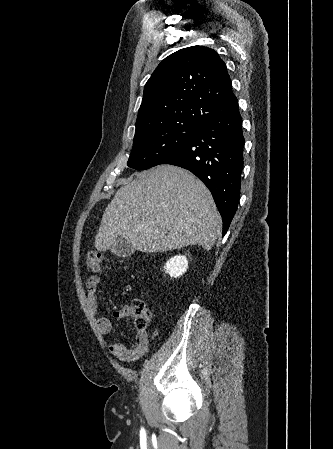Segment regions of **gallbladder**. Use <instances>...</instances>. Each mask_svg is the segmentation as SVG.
<instances>
[{"label":"gallbladder","mask_w":333,"mask_h":449,"mask_svg":"<svg viewBox=\"0 0 333 449\" xmlns=\"http://www.w3.org/2000/svg\"><path fill=\"white\" fill-rule=\"evenodd\" d=\"M136 248L126 238H120L117 243L112 246L111 252L119 257H127L133 254Z\"/></svg>","instance_id":"gallbladder-1"}]
</instances>
